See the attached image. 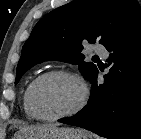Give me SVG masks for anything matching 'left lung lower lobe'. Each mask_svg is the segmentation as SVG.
I'll list each match as a JSON object with an SVG mask.
<instances>
[{
	"label": "left lung lower lobe",
	"instance_id": "0a47b994",
	"mask_svg": "<svg viewBox=\"0 0 141 139\" xmlns=\"http://www.w3.org/2000/svg\"><path fill=\"white\" fill-rule=\"evenodd\" d=\"M109 73L92 83L88 104L75 116L58 121L83 127L111 139H140L141 133V22L109 42Z\"/></svg>",
	"mask_w": 141,
	"mask_h": 139
}]
</instances>
